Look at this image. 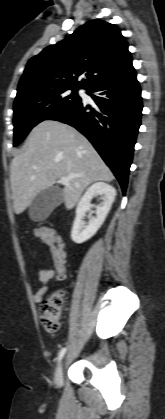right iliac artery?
<instances>
[{"label":"right iliac artery","mask_w":165,"mask_h":419,"mask_svg":"<svg viewBox=\"0 0 165 419\" xmlns=\"http://www.w3.org/2000/svg\"><path fill=\"white\" fill-rule=\"evenodd\" d=\"M65 352H66V348H63V349L59 352V355H58V358H57V361H58V362L62 359V357L64 356Z\"/></svg>","instance_id":"1"}]
</instances>
